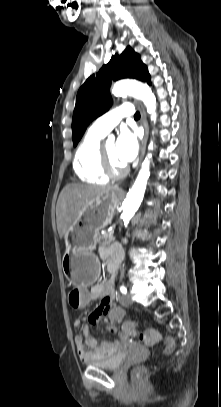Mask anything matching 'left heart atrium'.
<instances>
[{
  "label": "left heart atrium",
  "instance_id": "obj_1",
  "mask_svg": "<svg viewBox=\"0 0 221 407\" xmlns=\"http://www.w3.org/2000/svg\"><path fill=\"white\" fill-rule=\"evenodd\" d=\"M138 140L134 133L123 129L116 142V155L118 160L126 165L132 162L138 153Z\"/></svg>",
  "mask_w": 221,
  "mask_h": 407
}]
</instances>
